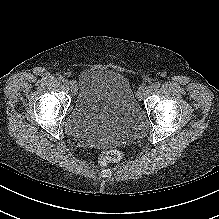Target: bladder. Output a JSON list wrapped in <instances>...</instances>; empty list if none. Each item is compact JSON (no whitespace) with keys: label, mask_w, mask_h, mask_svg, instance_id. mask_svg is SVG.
Instances as JSON below:
<instances>
[{"label":"bladder","mask_w":219,"mask_h":219,"mask_svg":"<svg viewBox=\"0 0 219 219\" xmlns=\"http://www.w3.org/2000/svg\"><path fill=\"white\" fill-rule=\"evenodd\" d=\"M75 93L73 106L65 117L70 135L111 145L145 132L144 109L122 74L85 70L75 81Z\"/></svg>","instance_id":"bladder-1"}]
</instances>
